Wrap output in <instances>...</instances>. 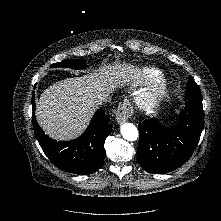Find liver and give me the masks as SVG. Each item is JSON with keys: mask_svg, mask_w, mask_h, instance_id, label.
Here are the masks:
<instances>
[{"mask_svg": "<svg viewBox=\"0 0 221 221\" xmlns=\"http://www.w3.org/2000/svg\"><path fill=\"white\" fill-rule=\"evenodd\" d=\"M132 67L103 65L82 77L67 78L49 86L36 103L40 127L55 140H70L87 127L98 107L97 96L109 95L122 85Z\"/></svg>", "mask_w": 221, "mask_h": 221, "instance_id": "obj_1", "label": "liver"}]
</instances>
